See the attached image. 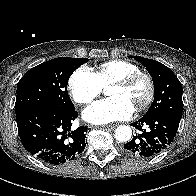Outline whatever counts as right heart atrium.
I'll return each mask as SVG.
<instances>
[{"label":"right heart atrium","mask_w":196,"mask_h":196,"mask_svg":"<svg viewBox=\"0 0 196 196\" xmlns=\"http://www.w3.org/2000/svg\"><path fill=\"white\" fill-rule=\"evenodd\" d=\"M72 99L80 105L90 104L102 91L96 74L87 67L76 69L68 81Z\"/></svg>","instance_id":"right-heart-atrium-1"}]
</instances>
